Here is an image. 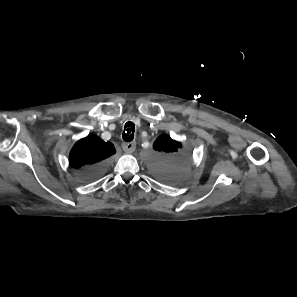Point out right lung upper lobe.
I'll return each mask as SVG.
<instances>
[{"mask_svg": "<svg viewBox=\"0 0 297 297\" xmlns=\"http://www.w3.org/2000/svg\"><path fill=\"white\" fill-rule=\"evenodd\" d=\"M114 153L115 148L111 142H104L95 135H88L72 148L69 155L70 165L82 171L87 167L105 162V159Z\"/></svg>", "mask_w": 297, "mask_h": 297, "instance_id": "cb5924a9", "label": "right lung upper lobe"}]
</instances>
